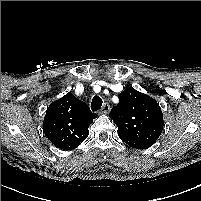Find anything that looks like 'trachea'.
Masks as SVG:
<instances>
[{
  "label": "trachea",
  "instance_id": "obj_1",
  "mask_svg": "<svg viewBox=\"0 0 201 201\" xmlns=\"http://www.w3.org/2000/svg\"><path fill=\"white\" fill-rule=\"evenodd\" d=\"M102 99L99 96H94L91 102V109L92 111H97L101 108L102 106Z\"/></svg>",
  "mask_w": 201,
  "mask_h": 201
}]
</instances>
